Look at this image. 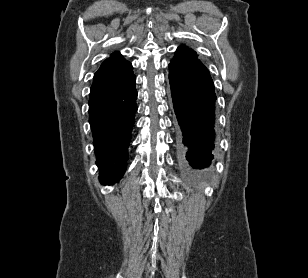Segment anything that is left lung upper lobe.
<instances>
[{"instance_id":"obj_1","label":"left lung upper lobe","mask_w":308,"mask_h":278,"mask_svg":"<svg viewBox=\"0 0 308 278\" xmlns=\"http://www.w3.org/2000/svg\"><path fill=\"white\" fill-rule=\"evenodd\" d=\"M195 59H197V53L194 50L182 45L175 52V56L171 60V62L186 63Z\"/></svg>"}]
</instances>
